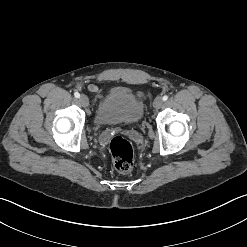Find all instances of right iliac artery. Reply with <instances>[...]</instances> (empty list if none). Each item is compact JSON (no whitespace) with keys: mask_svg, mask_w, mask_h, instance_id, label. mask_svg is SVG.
<instances>
[{"mask_svg":"<svg viewBox=\"0 0 247 247\" xmlns=\"http://www.w3.org/2000/svg\"><path fill=\"white\" fill-rule=\"evenodd\" d=\"M74 96H75L76 98H79V97H80V94H79L78 92H75V93H74Z\"/></svg>","mask_w":247,"mask_h":247,"instance_id":"1","label":"right iliac artery"}]
</instances>
